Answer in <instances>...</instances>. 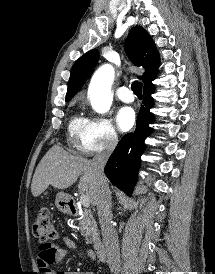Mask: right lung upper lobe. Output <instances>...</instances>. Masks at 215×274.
Masks as SVG:
<instances>
[{
  "label": "right lung upper lobe",
  "instance_id": "cb5924a9",
  "mask_svg": "<svg viewBox=\"0 0 215 274\" xmlns=\"http://www.w3.org/2000/svg\"><path fill=\"white\" fill-rule=\"evenodd\" d=\"M125 49L135 65L145 68V73L140 77L144 86L153 85L152 81L157 76L160 60L156 46L148 32L141 26L134 27L128 35ZM98 57L97 50H90L75 62L70 74L66 101H69L85 83Z\"/></svg>",
  "mask_w": 215,
  "mask_h": 274
}]
</instances>
